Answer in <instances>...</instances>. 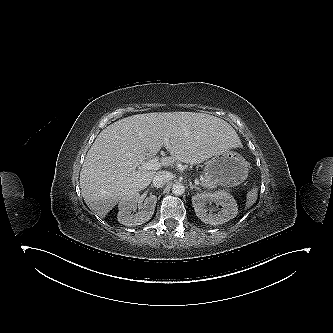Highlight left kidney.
I'll return each instance as SVG.
<instances>
[{"label": "left kidney", "instance_id": "5707ae66", "mask_svg": "<svg viewBox=\"0 0 333 333\" xmlns=\"http://www.w3.org/2000/svg\"><path fill=\"white\" fill-rule=\"evenodd\" d=\"M215 203L220 205L221 209H216L217 213L212 210L208 213L207 204ZM192 205L196 216L204 223L210 225H219L228 222L236 217L238 206L236 200L227 192L217 191L214 193L203 192L192 196Z\"/></svg>", "mask_w": 333, "mask_h": 333}]
</instances>
